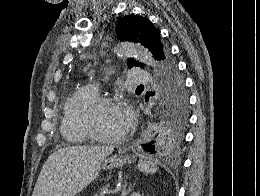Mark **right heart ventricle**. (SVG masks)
<instances>
[{"mask_svg": "<svg viewBox=\"0 0 260 196\" xmlns=\"http://www.w3.org/2000/svg\"><path fill=\"white\" fill-rule=\"evenodd\" d=\"M97 97L98 91L96 88L83 86L73 94L68 102L61 123V133L69 145L81 144L92 138L80 127L79 114L74 110H86Z\"/></svg>", "mask_w": 260, "mask_h": 196, "instance_id": "e07e8e85", "label": "right heart ventricle"}]
</instances>
